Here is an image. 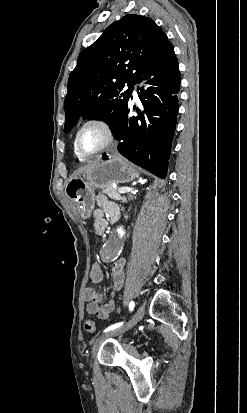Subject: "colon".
I'll return each instance as SVG.
<instances>
[{"mask_svg":"<svg viewBox=\"0 0 247 413\" xmlns=\"http://www.w3.org/2000/svg\"><path fill=\"white\" fill-rule=\"evenodd\" d=\"M101 277V264L94 263L92 267L88 268V279L89 280H96ZM84 329L88 333H94L96 330V324L93 319H85L84 321Z\"/></svg>","mask_w":247,"mask_h":413,"instance_id":"5ec220e1","label":"colon"}]
</instances>
